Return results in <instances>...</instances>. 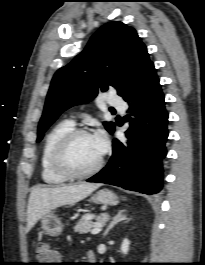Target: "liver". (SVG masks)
<instances>
[{
  "instance_id": "6515ba94",
  "label": "liver",
  "mask_w": 205,
  "mask_h": 265,
  "mask_svg": "<svg viewBox=\"0 0 205 265\" xmlns=\"http://www.w3.org/2000/svg\"><path fill=\"white\" fill-rule=\"evenodd\" d=\"M100 184L81 183L51 188H33L27 208V231L44 215L67 204L83 200L96 190Z\"/></svg>"
}]
</instances>
